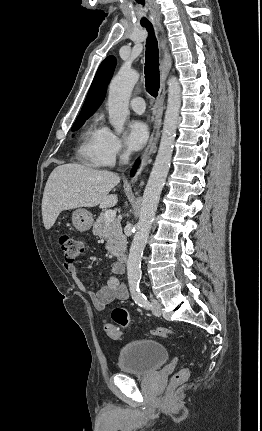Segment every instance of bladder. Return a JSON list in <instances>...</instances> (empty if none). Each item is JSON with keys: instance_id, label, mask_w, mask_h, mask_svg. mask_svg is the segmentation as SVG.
<instances>
[{"instance_id": "1", "label": "bladder", "mask_w": 262, "mask_h": 431, "mask_svg": "<svg viewBox=\"0 0 262 431\" xmlns=\"http://www.w3.org/2000/svg\"><path fill=\"white\" fill-rule=\"evenodd\" d=\"M169 358L164 345L151 339H137L124 346L117 359L121 372L146 375L158 369Z\"/></svg>"}]
</instances>
